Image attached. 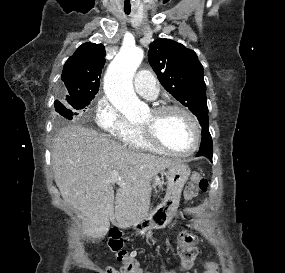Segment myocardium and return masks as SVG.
Listing matches in <instances>:
<instances>
[{
	"label": "myocardium",
	"mask_w": 285,
	"mask_h": 273,
	"mask_svg": "<svg viewBox=\"0 0 285 273\" xmlns=\"http://www.w3.org/2000/svg\"><path fill=\"white\" fill-rule=\"evenodd\" d=\"M170 111L180 112L185 115L189 121L191 122L193 129H194V141L190 149L187 151H175L173 149L168 148L165 146L161 140L158 138L157 134L155 133L153 127L150 126H143L140 125L139 128L144 139L154 148L165 152L167 154L176 156V157H188L193 155L200 147L201 138H202V129L201 125L197 119V117L187 108L177 104H165V105H158L152 109V112L156 115H161Z\"/></svg>",
	"instance_id": "myocardium-1"
}]
</instances>
